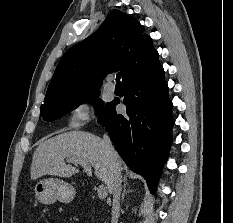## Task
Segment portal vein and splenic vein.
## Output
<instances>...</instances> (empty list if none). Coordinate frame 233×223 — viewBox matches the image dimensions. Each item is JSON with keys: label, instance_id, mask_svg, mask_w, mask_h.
Here are the masks:
<instances>
[{"label": "portal vein and splenic vein", "instance_id": "18ae733b", "mask_svg": "<svg viewBox=\"0 0 233 223\" xmlns=\"http://www.w3.org/2000/svg\"><path fill=\"white\" fill-rule=\"evenodd\" d=\"M75 163H79L84 169H90L91 171L90 163H86V161H82V159H76ZM89 175H92V173H89ZM98 197H100V199H105V197H107V191L104 185H98Z\"/></svg>", "mask_w": 233, "mask_h": 223}]
</instances>
